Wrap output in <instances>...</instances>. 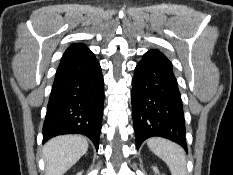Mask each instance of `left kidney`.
I'll return each mask as SVG.
<instances>
[{
	"label": "left kidney",
	"mask_w": 233,
	"mask_h": 175,
	"mask_svg": "<svg viewBox=\"0 0 233 175\" xmlns=\"http://www.w3.org/2000/svg\"><path fill=\"white\" fill-rule=\"evenodd\" d=\"M153 170L155 171V173H159L157 167H153Z\"/></svg>",
	"instance_id": "5707ae66"
}]
</instances>
